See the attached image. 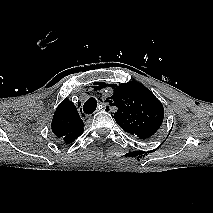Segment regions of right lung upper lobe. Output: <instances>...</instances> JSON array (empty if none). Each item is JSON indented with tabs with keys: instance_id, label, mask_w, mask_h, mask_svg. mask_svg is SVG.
<instances>
[{
	"instance_id": "cb5924a9",
	"label": "right lung upper lobe",
	"mask_w": 213,
	"mask_h": 213,
	"mask_svg": "<svg viewBox=\"0 0 213 213\" xmlns=\"http://www.w3.org/2000/svg\"><path fill=\"white\" fill-rule=\"evenodd\" d=\"M51 128L60 143L75 141L84 131V123L69 99L63 100L57 107Z\"/></svg>"
}]
</instances>
